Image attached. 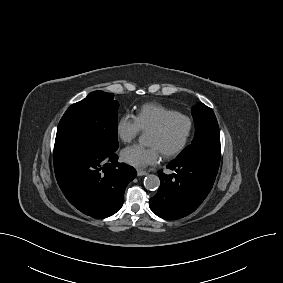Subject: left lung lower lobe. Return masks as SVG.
<instances>
[{
	"label": "left lung lower lobe",
	"mask_w": 283,
	"mask_h": 283,
	"mask_svg": "<svg viewBox=\"0 0 283 283\" xmlns=\"http://www.w3.org/2000/svg\"><path fill=\"white\" fill-rule=\"evenodd\" d=\"M167 168L175 173L159 171L160 187L150 199V209L167 220L183 218L194 212L211 191L218 167L206 160L192 158L172 161Z\"/></svg>",
	"instance_id": "left-lung-lower-lobe-1"
}]
</instances>
